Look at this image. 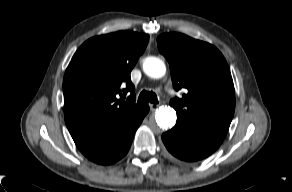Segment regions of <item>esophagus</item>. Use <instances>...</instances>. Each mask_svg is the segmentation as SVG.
<instances>
[{"label": "esophagus", "instance_id": "obj_1", "mask_svg": "<svg viewBox=\"0 0 292 192\" xmlns=\"http://www.w3.org/2000/svg\"><path fill=\"white\" fill-rule=\"evenodd\" d=\"M149 107H150V110L153 112V111H155L156 109H158L159 104L151 103V104H149Z\"/></svg>", "mask_w": 292, "mask_h": 192}]
</instances>
